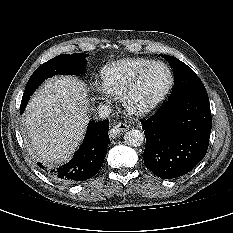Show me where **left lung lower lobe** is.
<instances>
[{"label":"left lung lower lobe","mask_w":233,"mask_h":233,"mask_svg":"<svg viewBox=\"0 0 233 233\" xmlns=\"http://www.w3.org/2000/svg\"><path fill=\"white\" fill-rule=\"evenodd\" d=\"M212 127L207 94H185L168 101L142 122L144 164L156 176L172 179L191 171L205 156Z\"/></svg>","instance_id":"0a47b994"}]
</instances>
